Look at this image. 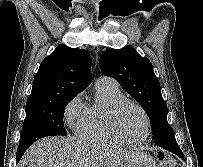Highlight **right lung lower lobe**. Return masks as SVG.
I'll return each mask as SVG.
<instances>
[{
	"label": "right lung lower lobe",
	"instance_id": "98d812e1",
	"mask_svg": "<svg viewBox=\"0 0 203 167\" xmlns=\"http://www.w3.org/2000/svg\"><path fill=\"white\" fill-rule=\"evenodd\" d=\"M31 144H26L23 146H19L17 149V162H19V160L21 159V157L23 156L24 152L26 151V149L30 146Z\"/></svg>",
	"mask_w": 203,
	"mask_h": 167
}]
</instances>
